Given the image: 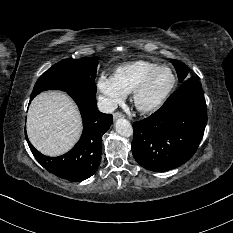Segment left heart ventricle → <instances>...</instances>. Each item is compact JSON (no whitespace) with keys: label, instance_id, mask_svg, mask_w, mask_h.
<instances>
[{"label":"left heart ventricle","instance_id":"1","mask_svg":"<svg viewBox=\"0 0 233 233\" xmlns=\"http://www.w3.org/2000/svg\"><path fill=\"white\" fill-rule=\"evenodd\" d=\"M171 80V74L168 70L158 72L150 82L148 88L143 93L141 101L144 104L154 102L166 89Z\"/></svg>","mask_w":233,"mask_h":233}]
</instances>
